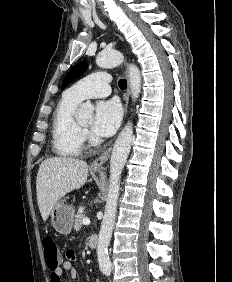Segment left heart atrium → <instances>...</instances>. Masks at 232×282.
<instances>
[{
    "label": "left heart atrium",
    "mask_w": 232,
    "mask_h": 282,
    "mask_svg": "<svg viewBox=\"0 0 232 282\" xmlns=\"http://www.w3.org/2000/svg\"><path fill=\"white\" fill-rule=\"evenodd\" d=\"M122 118V108L115 99L97 103L92 130L100 136H111L117 130Z\"/></svg>",
    "instance_id": "obj_1"
}]
</instances>
